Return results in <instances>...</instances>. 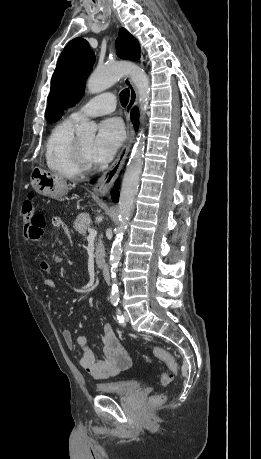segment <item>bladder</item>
<instances>
[{
  "mask_svg": "<svg viewBox=\"0 0 261 459\" xmlns=\"http://www.w3.org/2000/svg\"><path fill=\"white\" fill-rule=\"evenodd\" d=\"M141 389V383L137 380H115L96 384V391L102 394L128 395Z\"/></svg>",
  "mask_w": 261,
  "mask_h": 459,
  "instance_id": "1",
  "label": "bladder"
}]
</instances>
